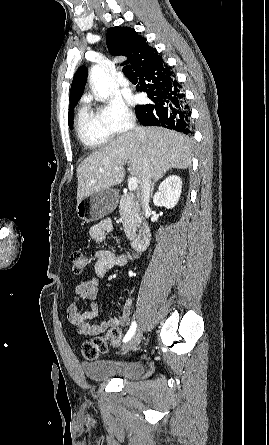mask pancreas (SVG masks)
Returning <instances> with one entry per match:
<instances>
[{
  "instance_id": "pancreas-1",
  "label": "pancreas",
  "mask_w": 269,
  "mask_h": 445,
  "mask_svg": "<svg viewBox=\"0 0 269 445\" xmlns=\"http://www.w3.org/2000/svg\"><path fill=\"white\" fill-rule=\"evenodd\" d=\"M119 213L122 218L125 234L132 240L136 236L137 226L141 220L140 205L133 194H123L120 199Z\"/></svg>"
}]
</instances>
